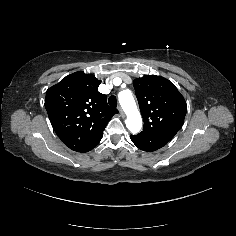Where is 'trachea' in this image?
<instances>
[{
    "label": "trachea",
    "mask_w": 236,
    "mask_h": 236,
    "mask_svg": "<svg viewBox=\"0 0 236 236\" xmlns=\"http://www.w3.org/2000/svg\"><path fill=\"white\" fill-rule=\"evenodd\" d=\"M108 104L111 106V107H114L116 108L117 107V98L116 96L114 95H111L108 99Z\"/></svg>",
    "instance_id": "1"
}]
</instances>
